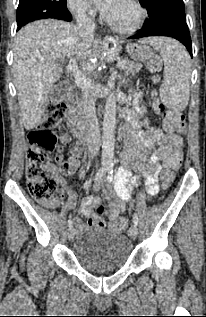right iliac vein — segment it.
I'll list each match as a JSON object with an SVG mask.
<instances>
[{
  "mask_svg": "<svg viewBox=\"0 0 206 317\" xmlns=\"http://www.w3.org/2000/svg\"><path fill=\"white\" fill-rule=\"evenodd\" d=\"M67 236L69 240H72L75 236V228L74 227H69L67 230Z\"/></svg>",
  "mask_w": 206,
  "mask_h": 317,
  "instance_id": "right-iliac-vein-1",
  "label": "right iliac vein"
}]
</instances>
